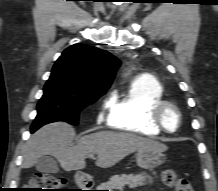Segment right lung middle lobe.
<instances>
[{
	"label": "right lung middle lobe",
	"mask_w": 218,
	"mask_h": 191,
	"mask_svg": "<svg viewBox=\"0 0 218 191\" xmlns=\"http://www.w3.org/2000/svg\"><path fill=\"white\" fill-rule=\"evenodd\" d=\"M103 94L104 92L79 90L69 85L63 78L51 73L44 86V94L38 102V114L31 130L35 132L41 126L55 121L77 125L80 111Z\"/></svg>",
	"instance_id": "1"
}]
</instances>
